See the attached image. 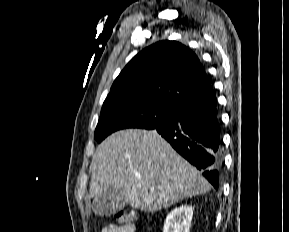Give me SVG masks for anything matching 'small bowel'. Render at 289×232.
Returning a JSON list of instances; mask_svg holds the SVG:
<instances>
[{
	"label": "small bowel",
	"mask_w": 289,
	"mask_h": 232,
	"mask_svg": "<svg viewBox=\"0 0 289 232\" xmlns=\"http://www.w3.org/2000/svg\"><path fill=\"white\" fill-rule=\"evenodd\" d=\"M135 231L136 226L133 223L124 226L110 224L101 230V232H135Z\"/></svg>",
	"instance_id": "small-bowel-1"
}]
</instances>
